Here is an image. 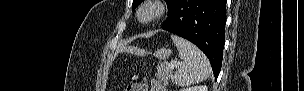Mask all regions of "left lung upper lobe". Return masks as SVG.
I'll return each instance as SVG.
<instances>
[{"label": "left lung upper lobe", "instance_id": "5c2ea615", "mask_svg": "<svg viewBox=\"0 0 304 91\" xmlns=\"http://www.w3.org/2000/svg\"><path fill=\"white\" fill-rule=\"evenodd\" d=\"M142 1L144 0H133V10L135 9L136 6H138ZM165 2L167 3L168 6V14L170 13V11L172 10V8L174 7V5L178 2V0H165Z\"/></svg>", "mask_w": 304, "mask_h": 91}]
</instances>
